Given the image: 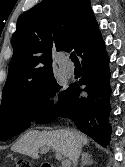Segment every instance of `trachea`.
I'll return each mask as SVG.
<instances>
[{
	"mask_svg": "<svg viewBox=\"0 0 125 167\" xmlns=\"http://www.w3.org/2000/svg\"><path fill=\"white\" fill-rule=\"evenodd\" d=\"M70 59L74 62L75 65H80L79 59L74 52L71 53Z\"/></svg>",
	"mask_w": 125,
	"mask_h": 167,
	"instance_id": "trachea-1",
	"label": "trachea"
}]
</instances>
